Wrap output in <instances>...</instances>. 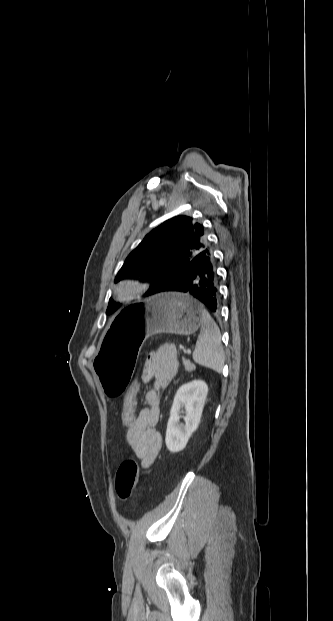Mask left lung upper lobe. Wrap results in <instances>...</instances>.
Returning <instances> with one entry per match:
<instances>
[{
    "label": "left lung upper lobe",
    "mask_w": 333,
    "mask_h": 621,
    "mask_svg": "<svg viewBox=\"0 0 333 621\" xmlns=\"http://www.w3.org/2000/svg\"><path fill=\"white\" fill-rule=\"evenodd\" d=\"M206 247L210 243L201 224L189 216L173 217L145 236L126 258L115 282L128 276H142L151 283L145 296L160 293ZM119 307L120 304L110 299L106 314Z\"/></svg>",
    "instance_id": "1"
}]
</instances>
